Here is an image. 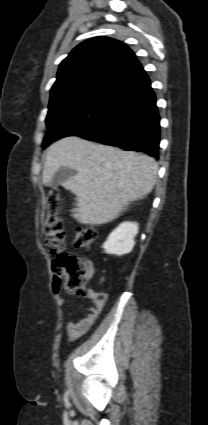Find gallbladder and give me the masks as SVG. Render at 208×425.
Returning <instances> with one entry per match:
<instances>
[{"label":"gallbladder","instance_id":"1","mask_svg":"<svg viewBox=\"0 0 208 425\" xmlns=\"http://www.w3.org/2000/svg\"><path fill=\"white\" fill-rule=\"evenodd\" d=\"M76 174L74 169L68 167L60 168L54 177L47 183L49 187H55L58 185H63L68 179L72 178Z\"/></svg>","mask_w":208,"mask_h":425}]
</instances>
